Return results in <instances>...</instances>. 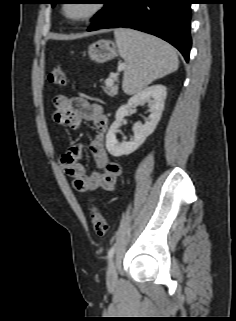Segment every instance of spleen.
<instances>
[{
	"label": "spleen",
	"instance_id": "obj_1",
	"mask_svg": "<svg viewBox=\"0 0 236 321\" xmlns=\"http://www.w3.org/2000/svg\"><path fill=\"white\" fill-rule=\"evenodd\" d=\"M118 51L125 60L123 91L132 95L154 80L178 69L175 50L165 41L131 29L114 31Z\"/></svg>",
	"mask_w": 236,
	"mask_h": 321
}]
</instances>
